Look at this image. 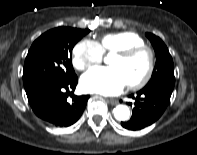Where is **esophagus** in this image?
Returning <instances> with one entry per match:
<instances>
[{
  "mask_svg": "<svg viewBox=\"0 0 197 155\" xmlns=\"http://www.w3.org/2000/svg\"><path fill=\"white\" fill-rule=\"evenodd\" d=\"M108 102H109L110 104H112V105L118 104V101H117V100H114V99H110V100H108Z\"/></svg>",
  "mask_w": 197,
  "mask_h": 155,
  "instance_id": "1",
  "label": "esophagus"
}]
</instances>
